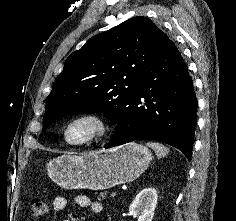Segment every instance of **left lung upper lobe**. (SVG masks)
<instances>
[{
  "label": "left lung upper lobe",
  "mask_w": 236,
  "mask_h": 221,
  "mask_svg": "<svg viewBox=\"0 0 236 221\" xmlns=\"http://www.w3.org/2000/svg\"><path fill=\"white\" fill-rule=\"evenodd\" d=\"M167 35L146 17H134L90 38L66 59L47 100L43 128L76 113H98L114 123Z\"/></svg>",
  "instance_id": "left-lung-upper-lobe-1"
}]
</instances>
